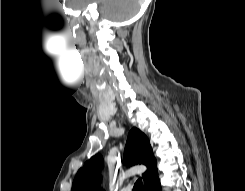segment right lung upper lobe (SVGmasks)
I'll return each mask as SVG.
<instances>
[{
  "label": "right lung upper lobe",
  "instance_id": "1",
  "mask_svg": "<svg viewBox=\"0 0 245 191\" xmlns=\"http://www.w3.org/2000/svg\"><path fill=\"white\" fill-rule=\"evenodd\" d=\"M102 163L101 155H96L87 161L77 172L71 191H92L94 185L100 181L99 170ZM124 163L146 165L147 170L142 174L144 187L158 177L157 164L150 142L146 135L137 128H133L129 132ZM100 191L102 190L100 189Z\"/></svg>",
  "mask_w": 245,
  "mask_h": 191
}]
</instances>
